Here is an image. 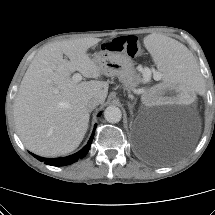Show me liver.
<instances>
[{"label":"liver","instance_id":"liver-1","mask_svg":"<svg viewBox=\"0 0 215 215\" xmlns=\"http://www.w3.org/2000/svg\"><path fill=\"white\" fill-rule=\"evenodd\" d=\"M99 38H79L45 45L35 55L19 86L14 102L16 129L31 152L55 157L74 151L88 128L90 110L87 101L103 103L108 83L99 80L75 82L71 74L86 78L103 74L87 53ZM69 61L63 59V55Z\"/></svg>","mask_w":215,"mask_h":215}]
</instances>
